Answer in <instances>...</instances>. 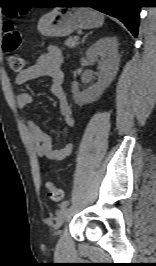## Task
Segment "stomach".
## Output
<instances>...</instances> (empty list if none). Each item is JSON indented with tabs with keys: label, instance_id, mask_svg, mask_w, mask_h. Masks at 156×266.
Masks as SVG:
<instances>
[{
	"label": "stomach",
	"instance_id": "obj_1",
	"mask_svg": "<svg viewBox=\"0 0 156 266\" xmlns=\"http://www.w3.org/2000/svg\"><path fill=\"white\" fill-rule=\"evenodd\" d=\"M104 17L89 8L59 7L41 17L38 30L44 37H65L76 29H92L103 24Z\"/></svg>",
	"mask_w": 156,
	"mask_h": 266
}]
</instances>
